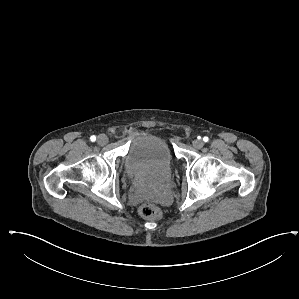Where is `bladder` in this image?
Listing matches in <instances>:
<instances>
[{
	"label": "bladder",
	"mask_w": 299,
	"mask_h": 299,
	"mask_svg": "<svg viewBox=\"0 0 299 299\" xmlns=\"http://www.w3.org/2000/svg\"><path fill=\"white\" fill-rule=\"evenodd\" d=\"M173 152L164 138L141 133L132 141L125 159V173L130 178L144 177L158 186L171 170Z\"/></svg>",
	"instance_id": "31cf9c89"
}]
</instances>
